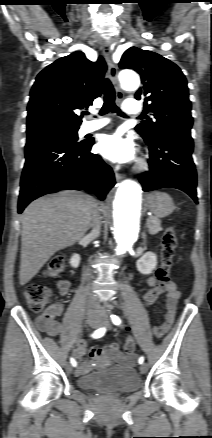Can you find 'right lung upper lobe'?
I'll return each mask as SVG.
<instances>
[{
    "label": "right lung upper lobe",
    "mask_w": 212,
    "mask_h": 438,
    "mask_svg": "<svg viewBox=\"0 0 212 438\" xmlns=\"http://www.w3.org/2000/svg\"><path fill=\"white\" fill-rule=\"evenodd\" d=\"M105 71L102 57L91 62L81 51L43 69L30 92L27 130L53 125L79 127L82 120L77 111L101 95Z\"/></svg>",
    "instance_id": "cb5924a9"
}]
</instances>
